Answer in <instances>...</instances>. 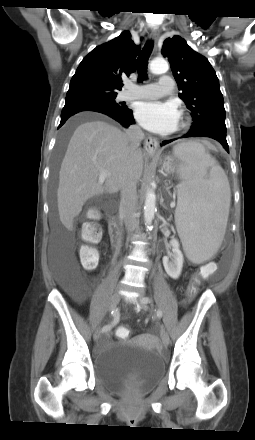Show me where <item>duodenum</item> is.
<instances>
[{
    "label": "duodenum",
    "mask_w": 255,
    "mask_h": 440,
    "mask_svg": "<svg viewBox=\"0 0 255 440\" xmlns=\"http://www.w3.org/2000/svg\"><path fill=\"white\" fill-rule=\"evenodd\" d=\"M109 232L113 243L115 244L116 247H118L121 242L122 235L120 228L115 219H110L109 221Z\"/></svg>",
    "instance_id": "1"
}]
</instances>
